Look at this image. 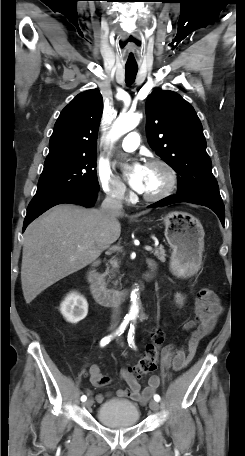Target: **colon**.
Returning <instances> with one entry per match:
<instances>
[{
	"mask_svg": "<svg viewBox=\"0 0 245 456\" xmlns=\"http://www.w3.org/2000/svg\"><path fill=\"white\" fill-rule=\"evenodd\" d=\"M163 343L164 332L161 328H157L152 333L151 342L147 344L144 355L132 368L131 372L136 377L140 378L156 369Z\"/></svg>",
	"mask_w": 245,
	"mask_h": 456,
	"instance_id": "colon-1",
	"label": "colon"
}]
</instances>
